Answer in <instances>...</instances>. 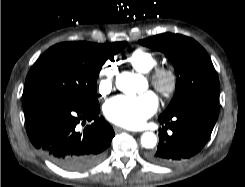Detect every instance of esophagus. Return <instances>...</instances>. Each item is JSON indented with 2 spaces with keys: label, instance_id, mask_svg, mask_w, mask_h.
<instances>
[{
  "label": "esophagus",
  "instance_id": "34e87169",
  "mask_svg": "<svg viewBox=\"0 0 245 187\" xmlns=\"http://www.w3.org/2000/svg\"><path fill=\"white\" fill-rule=\"evenodd\" d=\"M114 130L116 132L127 131V130H125V129L121 128V127H117V126L114 127Z\"/></svg>",
  "mask_w": 245,
  "mask_h": 187
}]
</instances>
